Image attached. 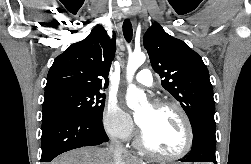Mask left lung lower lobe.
Returning a JSON list of instances; mask_svg holds the SVG:
<instances>
[{"label":"left lung lower lobe","instance_id":"0a47b994","mask_svg":"<svg viewBox=\"0 0 251 164\" xmlns=\"http://www.w3.org/2000/svg\"><path fill=\"white\" fill-rule=\"evenodd\" d=\"M215 147V126L207 123L200 124L193 131L192 150L182 162H213L216 164Z\"/></svg>","mask_w":251,"mask_h":164}]
</instances>
